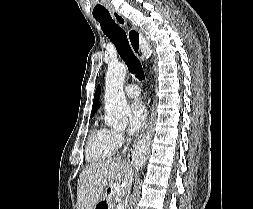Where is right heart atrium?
<instances>
[{
  "mask_svg": "<svg viewBox=\"0 0 253 209\" xmlns=\"http://www.w3.org/2000/svg\"><path fill=\"white\" fill-rule=\"evenodd\" d=\"M110 136L111 141L116 148L125 142V135L119 130H111Z\"/></svg>",
  "mask_w": 253,
  "mask_h": 209,
  "instance_id": "obj_1",
  "label": "right heart atrium"
}]
</instances>
